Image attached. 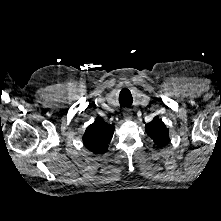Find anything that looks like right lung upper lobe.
<instances>
[{"label":"right lung upper lobe","instance_id":"right-lung-upper-lobe-1","mask_svg":"<svg viewBox=\"0 0 221 221\" xmlns=\"http://www.w3.org/2000/svg\"><path fill=\"white\" fill-rule=\"evenodd\" d=\"M114 132V125H109L101 118L89 125L83 136V143L86 148L95 154H102L108 149Z\"/></svg>","mask_w":221,"mask_h":221}]
</instances>
